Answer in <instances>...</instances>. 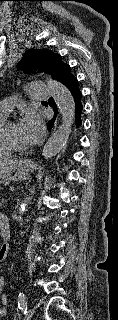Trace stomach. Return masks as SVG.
Instances as JSON below:
<instances>
[{"label":"stomach","mask_w":118,"mask_h":320,"mask_svg":"<svg viewBox=\"0 0 118 320\" xmlns=\"http://www.w3.org/2000/svg\"><path fill=\"white\" fill-rule=\"evenodd\" d=\"M36 165L27 159L16 160L14 163L0 167V184L6 181H23L30 177Z\"/></svg>","instance_id":"0dacf381"}]
</instances>
